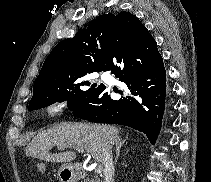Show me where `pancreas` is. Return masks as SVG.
I'll use <instances>...</instances> for the list:
<instances>
[{"instance_id": "obj_1", "label": "pancreas", "mask_w": 211, "mask_h": 182, "mask_svg": "<svg viewBox=\"0 0 211 182\" xmlns=\"http://www.w3.org/2000/svg\"><path fill=\"white\" fill-rule=\"evenodd\" d=\"M87 182H99V180L97 178L91 177L87 180Z\"/></svg>"}]
</instances>
